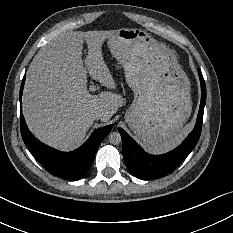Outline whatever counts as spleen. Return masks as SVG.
I'll list each match as a JSON object with an SVG mask.
<instances>
[{
    "instance_id": "obj_1",
    "label": "spleen",
    "mask_w": 233,
    "mask_h": 233,
    "mask_svg": "<svg viewBox=\"0 0 233 233\" xmlns=\"http://www.w3.org/2000/svg\"><path fill=\"white\" fill-rule=\"evenodd\" d=\"M188 132H189V129H183L169 143H166L163 146L149 148L148 150H149V152H151L153 154H157V153H163V152H166V151H168L170 149H173L175 146H177L184 139V137L188 134Z\"/></svg>"
}]
</instances>
